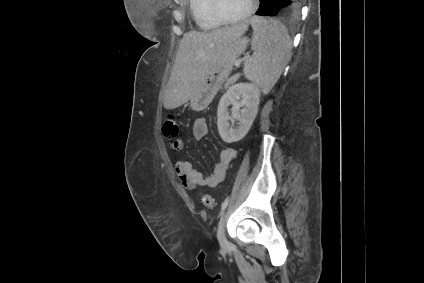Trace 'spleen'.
Segmentation results:
<instances>
[{
  "mask_svg": "<svg viewBox=\"0 0 424 283\" xmlns=\"http://www.w3.org/2000/svg\"><path fill=\"white\" fill-rule=\"evenodd\" d=\"M253 56L244 63L245 78L267 94L280 78L289 58L292 42L285 26L277 20L252 17Z\"/></svg>",
  "mask_w": 424,
  "mask_h": 283,
  "instance_id": "spleen-1",
  "label": "spleen"
}]
</instances>
